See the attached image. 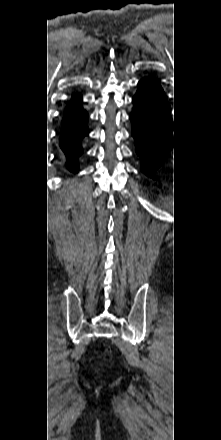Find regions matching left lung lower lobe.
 <instances>
[{"label": "left lung lower lobe", "mask_w": 221, "mask_h": 440, "mask_svg": "<svg viewBox=\"0 0 221 440\" xmlns=\"http://www.w3.org/2000/svg\"><path fill=\"white\" fill-rule=\"evenodd\" d=\"M130 114L136 153L142 171L151 178L161 166L163 157L172 150L173 121L170 106L157 79L147 77L138 83Z\"/></svg>", "instance_id": "1"}]
</instances>
